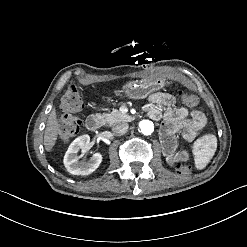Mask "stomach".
Masks as SVG:
<instances>
[{
  "label": "stomach",
  "mask_w": 247,
  "mask_h": 247,
  "mask_svg": "<svg viewBox=\"0 0 247 247\" xmlns=\"http://www.w3.org/2000/svg\"><path fill=\"white\" fill-rule=\"evenodd\" d=\"M165 86L163 79L153 81L132 80L123 84L122 89L126 97L134 100L145 99L148 95L156 92Z\"/></svg>",
  "instance_id": "1"
}]
</instances>
